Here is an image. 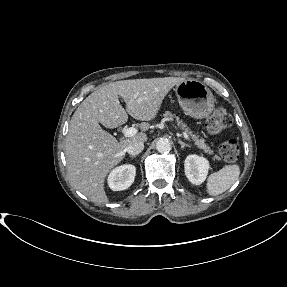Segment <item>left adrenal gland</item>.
Segmentation results:
<instances>
[{"label": "left adrenal gland", "instance_id": "left-adrenal-gland-1", "mask_svg": "<svg viewBox=\"0 0 287 287\" xmlns=\"http://www.w3.org/2000/svg\"><path fill=\"white\" fill-rule=\"evenodd\" d=\"M178 142L181 145V149H184L185 147H190V145L184 143L181 139H178Z\"/></svg>", "mask_w": 287, "mask_h": 287}]
</instances>
